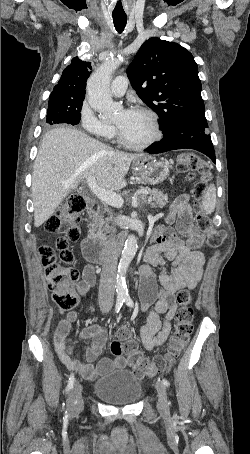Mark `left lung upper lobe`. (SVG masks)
Instances as JSON below:
<instances>
[{"label":"left lung upper lobe","mask_w":250,"mask_h":454,"mask_svg":"<svg viewBox=\"0 0 250 454\" xmlns=\"http://www.w3.org/2000/svg\"><path fill=\"white\" fill-rule=\"evenodd\" d=\"M127 75L138 96L158 114L163 134L185 118L205 114L198 66L179 44L150 38L129 65Z\"/></svg>","instance_id":"1"}]
</instances>
